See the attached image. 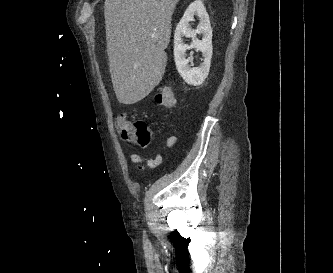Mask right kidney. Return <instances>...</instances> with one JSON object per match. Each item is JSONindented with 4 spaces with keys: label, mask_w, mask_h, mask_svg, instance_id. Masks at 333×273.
Returning <instances> with one entry per match:
<instances>
[{
    "label": "right kidney",
    "mask_w": 333,
    "mask_h": 273,
    "mask_svg": "<svg viewBox=\"0 0 333 273\" xmlns=\"http://www.w3.org/2000/svg\"><path fill=\"white\" fill-rule=\"evenodd\" d=\"M199 17L197 29H192L190 22L193 17ZM197 34H202L203 39H197ZM192 38L191 45L183 42L182 37ZM196 48L202 52L203 63L199 67H191L190 59H186V51ZM212 57V28L209 16L201 0H195L186 9L183 17L178 23L174 34V60L176 68L183 80L193 86L201 85L207 78Z\"/></svg>",
    "instance_id": "1"
}]
</instances>
